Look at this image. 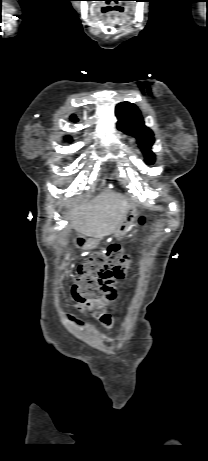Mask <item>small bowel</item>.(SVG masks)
<instances>
[{
	"label": "small bowel",
	"mask_w": 208,
	"mask_h": 461,
	"mask_svg": "<svg viewBox=\"0 0 208 461\" xmlns=\"http://www.w3.org/2000/svg\"><path fill=\"white\" fill-rule=\"evenodd\" d=\"M117 297V288L115 286V281L107 284L104 288L103 295L101 298L94 303V305L89 309L90 314L96 318L99 323L105 328H111L114 323V318L106 310V306L114 301ZM102 339H106L104 335H100Z\"/></svg>",
	"instance_id": "obj_1"
}]
</instances>
